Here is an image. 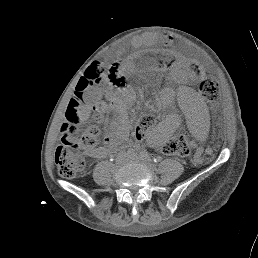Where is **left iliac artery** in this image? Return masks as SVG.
<instances>
[{
	"instance_id": "left-iliac-artery-1",
	"label": "left iliac artery",
	"mask_w": 258,
	"mask_h": 258,
	"mask_svg": "<svg viewBox=\"0 0 258 258\" xmlns=\"http://www.w3.org/2000/svg\"><path fill=\"white\" fill-rule=\"evenodd\" d=\"M141 156L146 158L147 154H143V153H142ZM159 160H161V157H157L156 159L154 158V161H155V162H157V161H159Z\"/></svg>"
}]
</instances>
